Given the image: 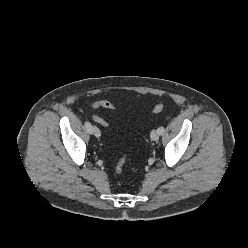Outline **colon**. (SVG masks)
<instances>
[{
  "label": "colon",
  "mask_w": 248,
  "mask_h": 248,
  "mask_svg": "<svg viewBox=\"0 0 248 248\" xmlns=\"http://www.w3.org/2000/svg\"><path fill=\"white\" fill-rule=\"evenodd\" d=\"M93 108L94 109L104 108V109H108V110H115L116 106L109 101L100 100V101H97L93 104ZM164 108H165V104L160 102L153 107L152 112L154 114H158V113L162 112ZM93 119L95 122H97L98 124H100L103 127L107 128L109 126L107 121L100 116L94 115ZM126 160H127L126 156H123L122 158L119 159V161L116 163V166H115V172L116 173L119 174L122 172L123 166L126 163Z\"/></svg>",
  "instance_id": "colon-1"
}]
</instances>
